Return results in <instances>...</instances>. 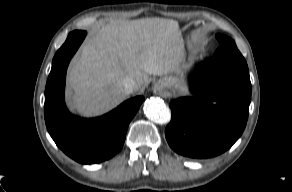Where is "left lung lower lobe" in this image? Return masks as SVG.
Masks as SVG:
<instances>
[{
    "mask_svg": "<svg viewBox=\"0 0 292 192\" xmlns=\"http://www.w3.org/2000/svg\"><path fill=\"white\" fill-rule=\"evenodd\" d=\"M201 71L194 87L205 99L173 100L172 119L165 130L170 147L192 158L214 157L228 150L244 131L251 100L248 66L237 48L219 47Z\"/></svg>",
    "mask_w": 292,
    "mask_h": 192,
    "instance_id": "0a47b994",
    "label": "left lung lower lobe"
}]
</instances>
